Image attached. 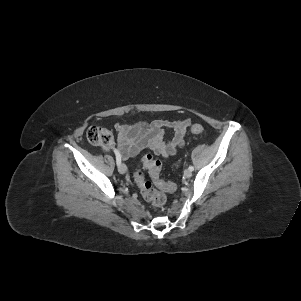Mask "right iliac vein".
<instances>
[{"label":"right iliac vein","mask_w":301,"mask_h":301,"mask_svg":"<svg viewBox=\"0 0 301 301\" xmlns=\"http://www.w3.org/2000/svg\"><path fill=\"white\" fill-rule=\"evenodd\" d=\"M118 171L121 173V174H125L127 172V167L124 163H120L118 165Z\"/></svg>","instance_id":"1"}]
</instances>
